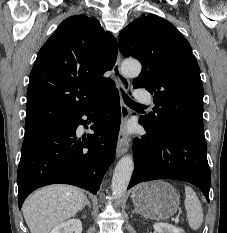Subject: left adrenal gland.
I'll use <instances>...</instances> for the list:
<instances>
[{
  "mask_svg": "<svg viewBox=\"0 0 227 233\" xmlns=\"http://www.w3.org/2000/svg\"><path fill=\"white\" fill-rule=\"evenodd\" d=\"M133 213H138V214H139V212H138V210H137V209L133 210Z\"/></svg>",
  "mask_w": 227,
  "mask_h": 233,
  "instance_id": "obj_1",
  "label": "left adrenal gland"
}]
</instances>
